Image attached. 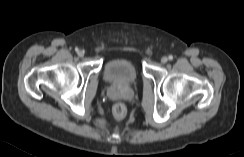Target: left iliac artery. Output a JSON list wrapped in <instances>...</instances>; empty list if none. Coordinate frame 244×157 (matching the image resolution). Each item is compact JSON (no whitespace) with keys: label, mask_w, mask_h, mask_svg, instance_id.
Segmentation results:
<instances>
[{"label":"left iliac artery","mask_w":244,"mask_h":157,"mask_svg":"<svg viewBox=\"0 0 244 157\" xmlns=\"http://www.w3.org/2000/svg\"><path fill=\"white\" fill-rule=\"evenodd\" d=\"M168 58H169V60H172L173 59V56L172 55H169Z\"/></svg>","instance_id":"44dca946"}]
</instances>
